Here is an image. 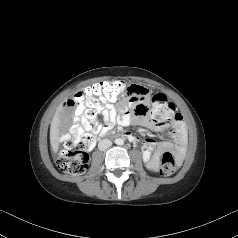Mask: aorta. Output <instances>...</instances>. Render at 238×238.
Listing matches in <instances>:
<instances>
[{"instance_id":"aorta-1","label":"aorta","mask_w":238,"mask_h":238,"mask_svg":"<svg viewBox=\"0 0 238 238\" xmlns=\"http://www.w3.org/2000/svg\"><path fill=\"white\" fill-rule=\"evenodd\" d=\"M115 143H116L117 145H122V144L124 143V141H123V139H121V138H117V139L115 140Z\"/></svg>"}]
</instances>
